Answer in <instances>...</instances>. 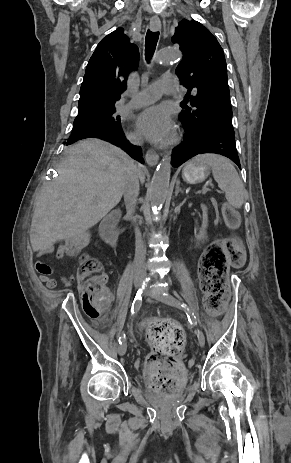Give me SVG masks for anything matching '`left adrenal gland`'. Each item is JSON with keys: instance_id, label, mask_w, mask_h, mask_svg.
Here are the masks:
<instances>
[{"instance_id": "left-adrenal-gland-1", "label": "left adrenal gland", "mask_w": 291, "mask_h": 463, "mask_svg": "<svg viewBox=\"0 0 291 463\" xmlns=\"http://www.w3.org/2000/svg\"><path fill=\"white\" fill-rule=\"evenodd\" d=\"M179 182H177V185H176V190H175V196H177L179 194V192H181V188L179 187Z\"/></svg>"}]
</instances>
